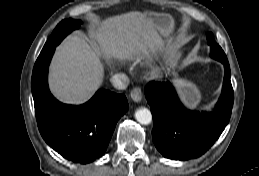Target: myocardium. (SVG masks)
I'll return each instance as SVG.
<instances>
[{
	"label": "myocardium",
	"mask_w": 259,
	"mask_h": 176,
	"mask_svg": "<svg viewBox=\"0 0 259 176\" xmlns=\"http://www.w3.org/2000/svg\"><path fill=\"white\" fill-rule=\"evenodd\" d=\"M162 73H163L162 70H158V71H156V72L153 73V77H159V76L162 75Z\"/></svg>",
	"instance_id": "obj_1"
}]
</instances>
